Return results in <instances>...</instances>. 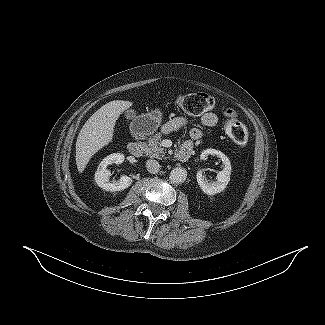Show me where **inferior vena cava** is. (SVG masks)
I'll return each instance as SVG.
<instances>
[{"mask_svg":"<svg viewBox=\"0 0 325 325\" xmlns=\"http://www.w3.org/2000/svg\"><path fill=\"white\" fill-rule=\"evenodd\" d=\"M146 168H147V170L150 173L155 174V173H158L159 172V170H160V164L156 160L149 159L146 162Z\"/></svg>","mask_w":325,"mask_h":325,"instance_id":"obj_1","label":"inferior vena cava"}]
</instances>
